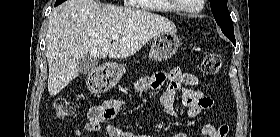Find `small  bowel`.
<instances>
[{"mask_svg":"<svg viewBox=\"0 0 280 137\" xmlns=\"http://www.w3.org/2000/svg\"><path fill=\"white\" fill-rule=\"evenodd\" d=\"M167 84L163 92L158 96L157 103L163 112L177 118H194L203 111L214 106L212 98L206 96L198 87L199 78L189 72H182L178 67L169 71H157L150 77L140 78L134 85L135 92L145 90H158ZM181 95L183 107L178 109L174 106L176 95ZM121 108V102L112 99L103 104L91 108L87 115V121L83 127L76 131L75 137H83L85 132L97 131L105 121H112L117 117ZM214 127L205 125V128ZM108 137H136L132 133L125 132L114 124L106 127ZM174 137H186L182 132L176 133Z\"/></svg>","mask_w":280,"mask_h":137,"instance_id":"c3829d8e","label":"small bowel"}]
</instances>
